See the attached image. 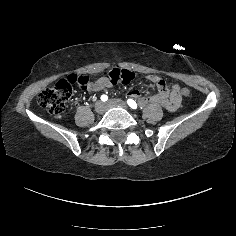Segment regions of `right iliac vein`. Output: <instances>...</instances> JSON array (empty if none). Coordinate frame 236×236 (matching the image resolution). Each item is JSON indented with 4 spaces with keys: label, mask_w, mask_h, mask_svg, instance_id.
<instances>
[{
    "label": "right iliac vein",
    "mask_w": 236,
    "mask_h": 236,
    "mask_svg": "<svg viewBox=\"0 0 236 236\" xmlns=\"http://www.w3.org/2000/svg\"><path fill=\"white\" fill-rule=\"evenodd\" d=\"M105 110H106V105L102 101H99L95 104V112L97 114H102L105 112Z\"/></svg>",
    "instance_id": "63e3f726"
}]
</instances>
